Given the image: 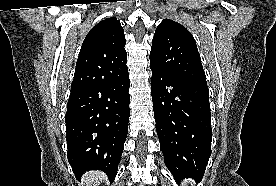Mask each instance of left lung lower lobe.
<instances>
[{
	"instance_id": "1",
	"label": "left lung lower lobe",
	"mask_w": 276,
	"mask_h": 186,
	"mask_svg": "<svg viewBox=\"0 0 276 186\" xmlns=\"http://www.w3.org/2000/svg\"><path fill=\"white\" fill-rule=\"evenodd\" d=\"M150 67L156 130L165 165L175 179L200 181L211 155L208 86Z\"/></svg>"
}]
</instances>
